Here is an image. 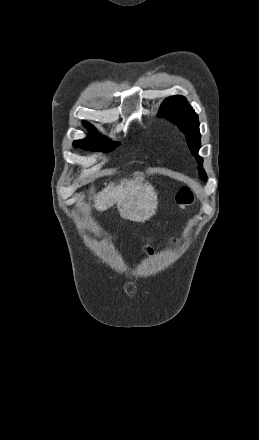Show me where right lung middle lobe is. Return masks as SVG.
I'll return each mask as SVG.
<instances>
[{"mask_svg":"<svg viewBox=\"0 0 259 440\" xmlns=\"http://www.w3.org/2000/svg\"><path fill=\"white\" fill-rule=\"evenodd\" d=\"M84 124L88 127H92L89 123L84 122ZM73 146L75 148L80 147L82 149H87L92 151L109 152L115 149L117 146H119V143L117 142L111 143L110 140L105 137L99 135H92V136H88L84 140L74 141Z\"/></svg>","mask_w":259,"mask_h":440,"instance_id":"obj_1","label":"right lung middle lobe"}]
</instances>
